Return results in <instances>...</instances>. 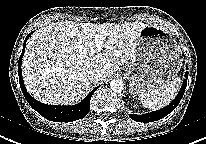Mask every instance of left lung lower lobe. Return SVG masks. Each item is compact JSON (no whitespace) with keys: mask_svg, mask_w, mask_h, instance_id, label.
I'll list each match as a JSON object with an SVG mask.
<instances>
[{"mask_svg":"<svg viewBox=\"0 0 206 144\" xmlns=\"http://www.w3.org/2000/svg\"><path fill=\"white\" fill-rule=\"evenodd\" d=\"M187 75H188V72H186L185 76H187ZM186 85H187V79L183 81L182 88L180 89L176 98L166 107H164L160 110H157V111L143 114V115L130 114L129 117L135 121L146 122V123L147 122H154V121H157V120L164 118L165 116L170 114L177 107V105L179 104L180 100L182 99V97L184 95Z\"/></svg>","mask_w":206,"mask_h":144,"instance_id":"1","label":"left lung lower lobe"}]
</instances>
